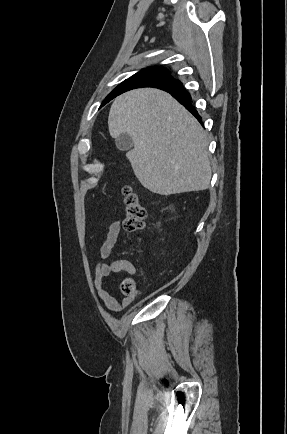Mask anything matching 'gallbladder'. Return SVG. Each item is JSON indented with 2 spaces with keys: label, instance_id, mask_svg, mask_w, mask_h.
<instances>
[{
  "label": "gallbladder",
  "instance_id": "obj_1",
  "mask_svg": "<svg viewBox=\"0 0 287 434\" xmlns=\"http://www.w3.org/2000/svg\"><path fill=\"white\" fill-rule=\"evenodd\" d=\"M115 144L119 150L128 151L133 147V140L127 133H122L115 139Z\"/></svg>",
  "mask_w": 287,
  "mask_h": 434
}]
</instances>
